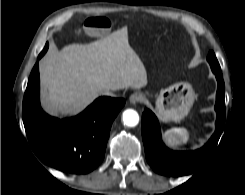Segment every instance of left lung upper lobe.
<instances>
[{"label":"left lung upper lobe","mask_w":245,"mask_h":195,"mask_svg":"<svg viewBox=\"0 0 245 195\" xmlns=\"http://www.w3.org/2000/svg\"><path fill=\"white\" fill-rule=\"evenodd\" d=\"M207 61L209 62L212 71L221 72L220 65L213 51H210L207 56Z\"/></svg>","instance_id":"5c2ea615"}]
</instances>
